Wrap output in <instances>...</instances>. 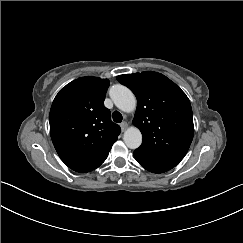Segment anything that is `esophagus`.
I'll list each match as a JSON object with an SVG mask.
<instances>
[{
	"mask_svg": "<svg viewBox=\"0 0 243 243\" xmlns=\"http://www.w3.org/2000/svg\"><path fill=\"white\" fill-rule=\"evenodd\" d=\"M120 127H121V131H122V132L125 131L126 128L128 127L127 122H122V123H120Z\"/></svg>",
	"mask_w": 243,
	"mask_h": 243,
	"instance_id": "1",
	"label": "esophagus"
}]
</instances>
